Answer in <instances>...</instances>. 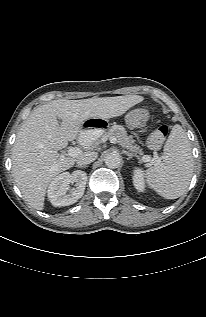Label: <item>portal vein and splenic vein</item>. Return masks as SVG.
<instances>
[{
  "label": "portal vein and splenic vein",
  "mask_w": 206,
  "mask_h": 317,
  "mask_svg": "<svg viewBox=\"0 0 206 317\" xmlns=\"http://www.w3.org/2000/svg\"><path fill=\"white\" fill-rule=\"evenodd\" d=\"M110 141H111V143H114V144L117 143V139L115 137H110ZM80 154H81V150L77 147H70L68 150V155L71 157H77ZM142 159L144 162L150 161V157L147 155H144Z\"/></svg>",
  "instance_id": "18ae733b"
}]
</instances>
